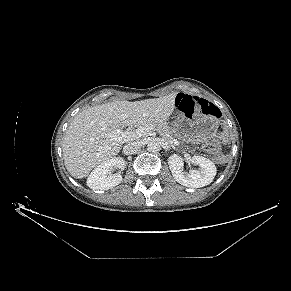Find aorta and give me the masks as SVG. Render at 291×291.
Masks as SVG:
<instances>
[{"mask_svg":"<svg viewBox=\"0 0 291 291\" xmlns=\"http://www.w3.org/2000/svg\"><path fill=\"white\" fill-rule=\"evenodd\" d=\"M147 150L149 152H152V153H155V152L159 151V145H158V143L157 142H154V141L149 142L148 145H147Z\"/></svg>","mask_w":291,"mask_h":291,"instance_id":"762f6f07","label":"aorta"}]
</instances>
